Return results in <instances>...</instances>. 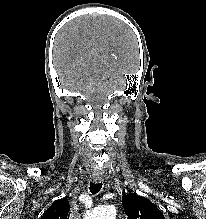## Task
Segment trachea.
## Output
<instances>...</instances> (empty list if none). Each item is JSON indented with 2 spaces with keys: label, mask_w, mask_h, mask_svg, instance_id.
<instances>
[{
  "label": "trachea",
  "mask_w": 206,
  "mask_h": 219,
  "mask_svg": "<svg viewBox=\"0 0 206 219\" xmlns=\"http://www.w3.org/2000/svg\"><path fill=\"white\" fill-rule=\"evenodd\" d=\"M101 188H102V182H99V183L91 182L90 183L89 189L93 195L97 194L101 190Z\"/></svg>",
  "instance_id": "trachea-1"
}]
</instances>
